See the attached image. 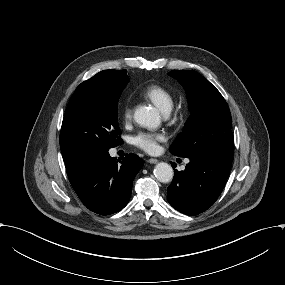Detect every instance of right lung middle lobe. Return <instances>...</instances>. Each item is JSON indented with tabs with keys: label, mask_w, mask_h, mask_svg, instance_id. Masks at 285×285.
<instances>
[{
	"label": "right lung middle lobe",
	"mask_w": 285,
	"mask_h": 285,
	"mask_svg": "<svg viewBox=\"0 0 285 285\" xmlns=\"http://www.w3.org/2000/svg\"><path fill=\"white\" fill-rule=\"evenodd\" d=\"M99 73L76 88L67 106L60 133L64 161L122 144L118 100L130 79L126 70Z\"/></svg>",
	"instance_id": "1"
}]
</instances>
